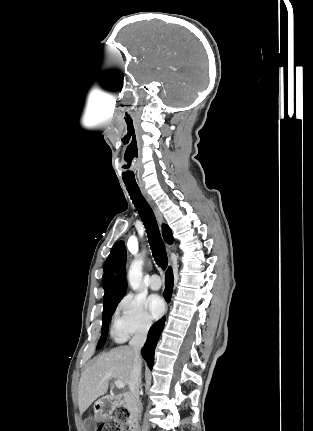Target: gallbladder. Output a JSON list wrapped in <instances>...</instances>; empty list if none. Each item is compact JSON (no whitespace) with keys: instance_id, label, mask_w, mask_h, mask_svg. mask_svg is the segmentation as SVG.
<instances>
[{"instance_id":"gallbladder-1","label":"gallbladder","mask_w":313,"mask_h":431,"mask_svg":"<svg viewBox=\"0 0 313 431\" xmlns=\"http://www.w3.org/2000/svg\"><path fill=\"white\" fill-rule=\"evenodd\" d=\"M94 426H95V423L93 419L88 418L86 420V431H91Z\"/></svg>"}]
</instances>
